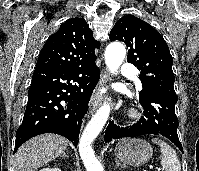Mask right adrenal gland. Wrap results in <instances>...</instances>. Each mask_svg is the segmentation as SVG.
<instances>
[{
  "label": "right adrenal gland",
  "mask_w": 199,
  "mask_h": 171,
  "mask_svg": "<svg viewBox=\"0 0 199 171\" xmlns=\"http://www.w3.org/2000/svg\"><path fill=\"white\" fill-rule=\"evenodd\" d=\"M61 157H69V156H68L67 153L64 151V152L62 153Z\"/></svg>",
  "instance_id": "2a0ac1e0"
}]
</instances>
